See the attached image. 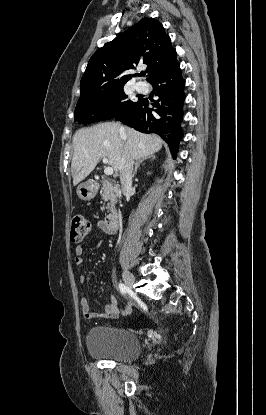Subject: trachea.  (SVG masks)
Wrapping results in <instances>:
<instances>
[{
    "instance_id": "1",
    "label": "trachea",
    "mask_w": 266,
    "mask_h": 415,
    "mask_svg": "<svg viewBox=\"0 0 266 415\" xmlns=\"http://www.w3.org/2000/svg\"><path fill=\"white\" fill-rule=\"evenodd\" d=\"M145 74H146L145 72H142L140 75H141V76H145Z\"/></svg>"
}]
</instances>
